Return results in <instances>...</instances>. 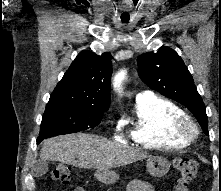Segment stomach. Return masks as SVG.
Wrapping results in <instances>:
<instances>
[{
  "instance_id": "1",
  "label": "stomach",
  "mask_w": 221,
  "mask_h": 191,
  "mask_svg": "<svg viewBox=\"0 0 221 191\" xmlns=\"http://www.w3.org/2000/svg\"><path fill=\"white\" fill-rule=\"evenodd\" d=\"M146 168L152 176L162 177L168 172L170 163L162 157H150L147 160ZM95 176L98 181L108 185L115 184L119 180V175L110 169H98Z\"/></svg>"
}]
</instances>
